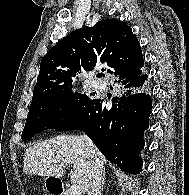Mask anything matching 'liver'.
Here are the masks:
<instances>
[{"label": "liver", "instance_id": "liver-1", "mask_svg": "<svg viewBox=\"0 0 189 195\" xmlns=\"http://www.w3.org/2000/svg\"><path fill=\"white\" fill-rule=\"evenodd\" d=\"M94 149V157L104 167L105 157L97 148ZM91 156V148L85 136H57L26 149L23 171L26 174L60 178L64 175L66 166L71 165V181L78 184L84 193L88 190Z\"/></svg>", "mask_w": 189, "mask_h": 195}]
</instances>
